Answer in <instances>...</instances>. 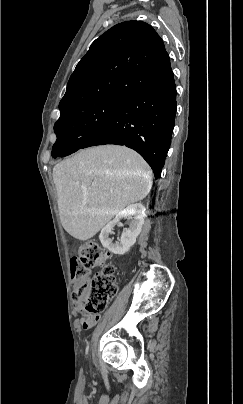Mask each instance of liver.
<instances>
[{"instance_id":"obj_1","label":"liver","mask_w":243,"mask_h":404,"mask_svg":"<svg viewBox=\"0 0 243 404\" xmlns=\"http://www.w3.org/2000/svg\"><path fill=\"white\" fill-rule=\"evenodd\" d=\"M61 224L76 240H90L117 212L141 202L152 188L145 160L124 146L86 148L53 168Z\"/></svg>"}]
</instances>
